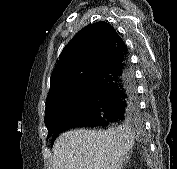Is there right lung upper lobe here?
Returning <instances> with one entry per match:
<instances>
[{
	"label": "right lung upper lobe",
	"instance_id": "obj_1",
	"mask_svg": "<svg viewBox=\"0 0 177 169\" xmlns=\"http://www.w3.org/2000/svg\"><path fill=\"white\" fill-rule=\"evenodd\" d=\"M127 47L107 22L90 24L79 31L64 47L60 61L50 78L46 107L66 99L76 89L115 61Z\"/></svg>",
	"mask_w": 177,
	"mask_h": 169
}]
</instances>
